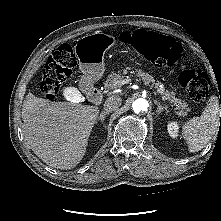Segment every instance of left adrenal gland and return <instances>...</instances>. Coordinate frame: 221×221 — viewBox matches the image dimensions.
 Returning <instances> with one entry per match:
<instances>
[{
  "label": "left adrenal gland",
  "mask_w": 221,
  "mask_h": 221,
  "mask_svg": "<svg viewBox=\"0 0 221 221\" xmlns=\"http://www.w3.org/2000/svg\"><path fill=\"white\" fill-rule=\"evenodd\" d=\"M154 103L157 105V111H156L157 114L161 113L164 109H166L157 100H155Z\"/></svg>",
  "instance_id": "obj_1"
}]
</instances>
